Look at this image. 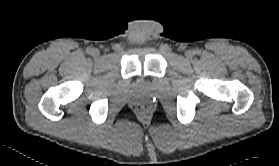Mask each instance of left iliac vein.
I'll return each instance as SVG.
<instances>
[{
    "label": "left iliac vein",
    "instance_id": "1",
    "mask_svg": "<svg viewBox=\"0 0 279 166\" xmlns=\"http://www.w3.org/2000/svg\"><path fill=\"white\" fill-rule=\"evenodd\" d=\"M185 56L187 58H191L193 56V52L191 50H188V51L185 52Z\"/></svg>",
    "mask_w": 279,
    "mask_h": 166
}]
</instances>
